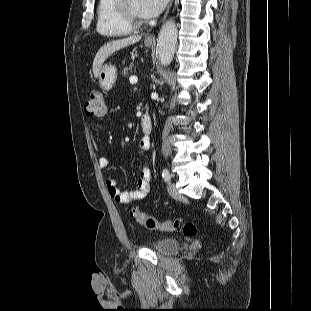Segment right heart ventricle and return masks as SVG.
Wrapping results in <instances>:
<instances>
[{"label": "right heart ventricle", "instance_id": "e07e8e85", "mask_svg": "<svg viewBox=\"0 0 311 311\" xmlns=\"http://www.w3.org/2000/svg\"><path fill=\"white\" fill-rule=\"evenodd\" d=\"M96 29L108 37H122L132 31L123 20L118 11V0H98L96 8Z\"/></svg>", "mask_w": 311, "mask_h": 311}]
</instances>
